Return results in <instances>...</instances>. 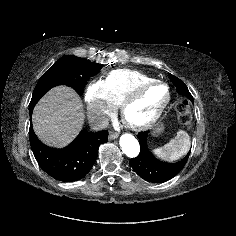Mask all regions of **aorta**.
I'll return each mask as SVG.
<instances>
[{"label":"aorta","instance_id":"1","mask_svg":"<svg viewBox=\"0 0 236 236\" xmlns=\"http://www.w3.org/2000/svg\"><path fill=\"white\" fill-rule=\"evenodd\" d=\"M120 146L123 151V153L130 157L134 158L137 157L140 152V145L138 140L131 134H123L120 137Z\"/></svg>","mask_w":236,"mask_h":236}]
</instances>
